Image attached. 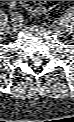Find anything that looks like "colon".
<instances>
[{
	"label": "colon",
	"mask_w": 74,
	"mask_h": 122,
	"mask_svg": "<svg viewBox=\"0 0 74 122\" xmlns=\"http://www.w3.org/2000/svg\"><path fill=\"white\" fill-rule=\"evenodd\" d=\"M57 1H21L22 6L37 13L46 12L52 8Z\"/></svg>",
	"instance_id": "obj_1"
}]
</instances>
